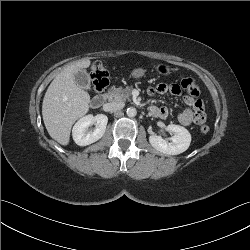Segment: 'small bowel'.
Instances as JSON below:
<instances>
[{
    "instance_id": "c3829d8e",
    "label": "small bowel",
    "mask_w": 250,
    "mask_h": 250,
    "mask_svg": "<svg viewBox=\"0 0 250 250\" xmlns=\"http://www.w3.org/2000/svg\"><path fill=\"white\" fill-rule=\"evenodd\" d=\"M170 92L172 94H180L181 87L176 84H159L157 86H151L148 88V93L154 95L156 93ZM184 103L189 106V109L184 110L178 116L179 122L184 126H190L192 124H203L206 120V114L204 104L200 99H195L189 95L183 97ZM150 112L155 117L166 118L169 111L166 107H150Z\"/></svg>"
}]
</instances>
